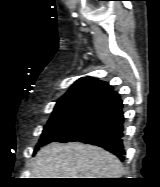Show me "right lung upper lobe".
I'll use <instances>...</instances> for the list:
<instances>
[{
    "label": "right lung upper lobe",
    "instance_id": "right-lung-upper-lobe-1",
    "mask_svg": "<svg viewBox=\"0 0 160 187\" xmlns=\"http://www.w3.org/2000/svg\"><path fill=\"white\" fill-rule=\"evenodd\" d=\"M114 93L108 83L89 76L83 77L57 101L55 107L78 103L98 105Z\"/></svg>",
    "mask_w": 160,
    "mask_h": 187
}]
</instances>
